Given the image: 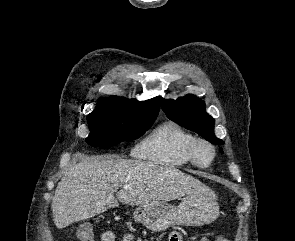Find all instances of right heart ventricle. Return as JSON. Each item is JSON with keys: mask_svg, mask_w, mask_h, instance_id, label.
<instances>
[{"mask_svg": "<svg viewBox=\"0 0 295 241\" xmlns=\"http://www.w3.org/2000/svg\"><path fill=\"white\" fill-rule=\"evenodd\" d=\"M196 137L173 122L156 127L137 147L136 155L143 160L168 167L192 164L189 150Z\"/></svg>", "mask_w": 295, "mask_h": 241, "instance_id": "1", "label": "right heart ventricle"}]
</instances>
